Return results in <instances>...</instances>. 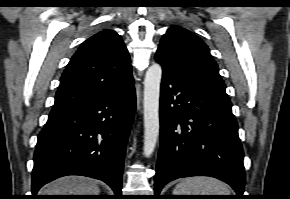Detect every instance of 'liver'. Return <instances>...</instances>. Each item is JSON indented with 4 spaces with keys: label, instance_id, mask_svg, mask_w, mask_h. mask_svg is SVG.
<instances>
[{
    "label": "liver",
    "instance_id": "6515ba94",
    "mask_svg": "<svg viewBox=\"0 0 290 199\" xmlns=\"http://www.w3.org/2000/svg\"><path fill=\"white\" fill-rule=\"evenodd\" d=\"M41 193V195H99L100 189L93 179L67 176L45 185Z\"/></svg>",
    "mask_w": 290,
    "mask_h": 199
}]
</instances>
